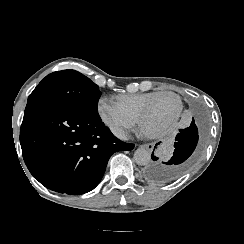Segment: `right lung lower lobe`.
<instances>
[{
    "label": "right lung lower lobe",
    "mask_w": 244,
    "mask_h": 244,
    "mask_svg": "<svg viewBox=\"0 0 244 244\" xmlns=\"http://www.w3.org/2000/svg\"><path fill=\"white\" fill-rule=\"evenodd\" d=\"M26 166L46 188L79 195L101 181L109 158L134 144L117 139L99 114L56 102H29L20 129Z\"/></svg>",
    "instance_id": "obj_1"
}]
</instances>
